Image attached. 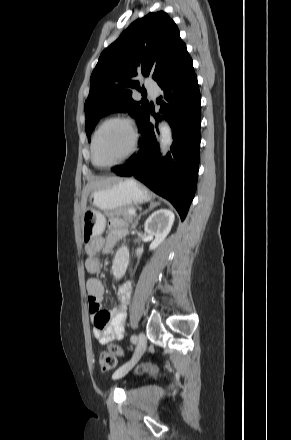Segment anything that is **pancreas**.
<instances>
[{"label": "pancreas", "instance_id": "pancreas-1", "mask_svg": "<svg viewBox=\"0 0 291 440\" xmlns=\"http://www.w3.org/2000/svg\"><path fill=\"white\" fill-rule=\"evenodd\" d=\"M128 210H129L128 207H120L111 211H105V215L107 217H113V216L123 217L124 220L128 222H133L134 216L130 215L128 213Z\"/></svg>", "mask_w": 291, "mask_h": 440}]
</instances>
